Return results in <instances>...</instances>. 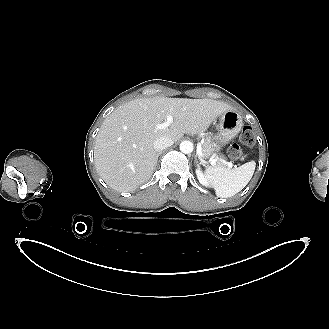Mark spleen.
Returning a JSON list of instances; mask_svg holds the SVG:
<instances>
[{"label":"spleen","mask_w":329,"mask_h":329,"mask_svg":"<svg viewBox=\"0 0 329 329\" xmlns=\"http://www.w3.org/2000/svg\"><path fill=\"white\" fill-rule=\"evenodd\" d=\"M256 163L247 162L238 168L208 166L205 175L213 186L217 197L228 198L240 192L251 180Z\"/></svg>","instance_id":"obj_1"}]
</instances>
